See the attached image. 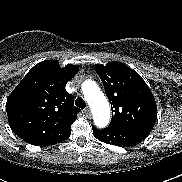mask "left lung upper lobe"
<instances>
[{
  "label": "left lung upper lobe",
  "instance_id": "left-lung-upper-lobe-1",
  "mask_svg": "<svg viewBox=\"0 0 182 182\" xmlns=\"http://www.w3.org/2000/svg\"><path fill=\"white\" fill-rule=\"evenodd\" d=\"M94 69L111 104L113 117L108 128L146 138L156 122L157 105L142 77L120 62L96 64Z\"/></svg>",
  "mask_w": 182,
  "mask_h": 182
}]
</instances>
